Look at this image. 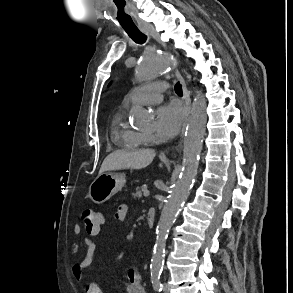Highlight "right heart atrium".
Masks as SVG:
<instances>
[{"instance_id":"d8ad5b80","label":"right heart atrium","mask_w":293,"mask_h":293,"mask_svg":"<svg viewBox=\"0 0 293 293\" xmlns=\"http://www.w3.org/2000/svg\"><path fill=\"white\" fill-rule=\"evenodd\" d=\"M146 138H147L148 141H153L154 140V138L151 135H146Z\"/></svg>"}]
</instances>
